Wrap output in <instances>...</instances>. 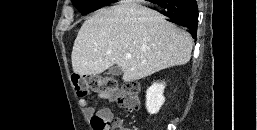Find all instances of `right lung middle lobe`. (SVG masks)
<instances>
[{
	"mask_svg": "<svg viewBox=\"0 0 257 130\" xmlns=\"http://www.w3.org/2000/svg\"><path fill=\"white\" fill-rule=\"evenodd\" d=\"M72 2L83 15L110 3L106 0H72Z\"/></svg>",
	"mask_w": 257,
	"mask_h": 130,
	"instance_id": "right-lung-middle-lobe-1",
	"label": "right lung middle lobe"
}]
</instances>
